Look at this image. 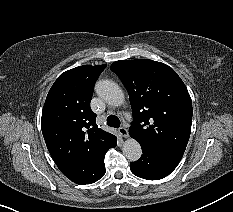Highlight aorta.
<instances>
[{"mask_svg":"<svg viewBox=\"0 0 233 212\" xmlns=\"http://www.w3.org/2000/svg\"><path fill=\"white\" fill-rule=\"evenodd\" d=\"M95 90L100 98L112 106H120L124 102L123 91L113 81L100 80L96 83ZM122 151L130 161H137L142 155L139 142L133 138H129L124 142Z\"/></svg>","mask_w":233,"mask_h":212,"instance_id":"762f6f07","label":"aorta"}]
</instances>
